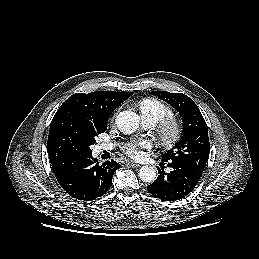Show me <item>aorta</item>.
Segmentation results:
<instances>
[{
  "label": "aorta",
  "mask_w": 259,
  "mask_h": 259,
  "mask_svg": "<svg viewBox=\"0 0 259 259\" xmlns=\"http://www.w3.org/2000/svg\"><path fill=\"white\" fill-rule=\"evenodd\" d=\"M140 117L132 111L120 112L116 117V125L124 134H131L139 128ZM139 177L143 182L151 183L157 178V171L151 166H142Z\"/></svg>",
  "instance_id": "762f6f07"
}]
</instances>
